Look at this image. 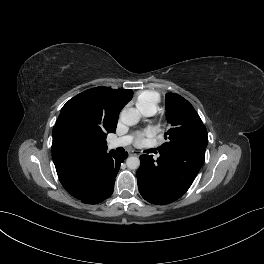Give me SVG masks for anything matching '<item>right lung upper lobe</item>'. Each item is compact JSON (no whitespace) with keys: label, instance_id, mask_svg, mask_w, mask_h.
Instances as JSON below:
<instances>
[{"label":"right lung upper lobe","instance_id":"right-lung-upper-lobe-1","mask_svg":"<svg viewBox=\"0 0 264 264\" xmlns=\"http://www.w3.org/2000/svg\"><path fill=\"white\" fill-rule=\"evenodd\" d=\"M132 95L133 91L130 89L96 87L78 94L71 100L82 99L87 103L90 123L98 133L107 137V133L115 132L119 113ZM106 152V143H75L56 126L53 128L52 158L63 186H71L84 165Z\"/></svg>","mask_w":264,"mask_h":264}]
</instances>
